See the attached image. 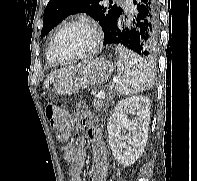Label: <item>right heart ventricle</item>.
<instances>
[{"instance_id": "1", "label": "right heart ventricle", "mask_w": 197, "mask_h": 181, "mask_svg": "<svg viewBox=\"0 0 197 181\" xmlns=\"http://www.w3.org/2000/svg\"><path fill=\"white\" fill-rule=\"evenodd\" d=\"M60 28V26H58L55 30H54V33L52 35V37L50 38V41H49V44H48V47H47V51H46V60L49 62V63H56V59L54 58V55H53V39H54V36L56 34V32L58 31V29Z\"/></svg>"}]
</instances>
